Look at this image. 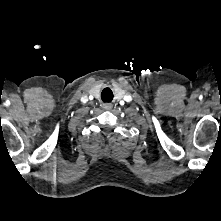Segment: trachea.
Instances as JSON below:
<instances>
[{
	"instance_id": "trachea-1",
	"label": "trachea",
	"mask_w": 221,
	"mask_h": 221,
	"mask_svg": "<svg viewBox=\"0 0 221 221\" xmlns=\"http://www.w3.org/2000/svg\"><path fill=\"white\" fill-rule=\"evenodd\" d=\"M105 91H109V92H110V96H109V97H107V96L105 95ZM101 97H102L103 102H110V101L112 100V98H113V94H112V92H111L110 89L106 88V89L103 91Z\"/></svg>"
}]
</instances>
